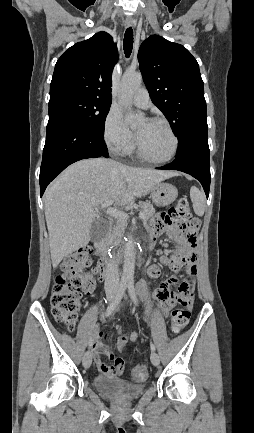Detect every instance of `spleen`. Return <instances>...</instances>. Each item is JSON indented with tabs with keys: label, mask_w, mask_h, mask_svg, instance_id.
Segmentation results:
<instances>
[{
	"label": "spleen",
	"mask_w": 254,
	"mask_h": 433,
	"mask_svg": "<svg viewBox=\"0 0 254 433\" xmlns=\"http://www.w3.org/2000/svg\"><path fill=\"white\" fill-rule=\"evenodd\" d=\"M190 198L193 203V210L196 215L203 216L205 212V197L204 194L196 187L190 190Z\"/></svg>",
	"instance_id": "spleen-1"
}]
</instances>
